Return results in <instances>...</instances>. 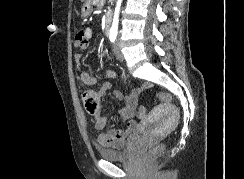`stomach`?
I'll return each instance as SVG.
<instances>
[{
    "label": "stomach",
    "instance_id": "obj_1",
    "mask_svg": "<svg viewBox=\"0 0 244 179\" xmlns=\"http://www.w3.org/2000/svg\"><path fill=\"white\" fill-rule=\"evenodd\" d=\"M92 12V4L90 0H86L85 4L82 6L81 14L82 18H88Z\"/></svg>",
    "mask_w": 244,
    "mask_h": 179
}]
</instances>
